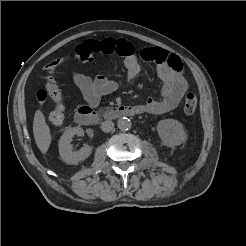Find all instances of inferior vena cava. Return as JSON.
I'll list each match as a JSON object with an SVG mask.
<instances>
[{
    "instance_id": "602c4592",
    "label": "inferior vena cava",
    "mask_w": 246,
    "mask_h": 246,
    "mask_svg": "<svg viewBox=\"0 0 246 246\" xmlns=\"http://www.w3.org/2000/svg\"><path fill=\"white\" fill-rule=\"evenodd\" d=\"M113 128H114V123L112 121L107 120L101 124V129L104 132H110L113 130Z\"/></svg>"
}]
</instances>
